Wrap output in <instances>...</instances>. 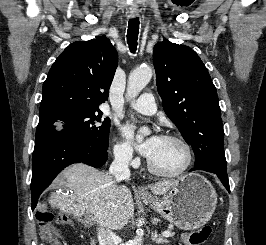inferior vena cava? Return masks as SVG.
<instances>
[{"mask_svg":"<svg viewBox=\"0 0 266 245\" xmlns=\"http://www.w3.org/2000/svg\"><path fill=\"white\" fill-rule=\"evenodd\" d=\"M130 161V155H115L112 165H110L109 175H112L114 181H124L129 179L130 171L128 169V163ZM99 245H115L116 237L109 229L99 227L97 233Z\"/></svg>","mask_w":266,"mask_h":245,"instance_id":"602c4592","label":"inferior vena cava"}]
</instances>
